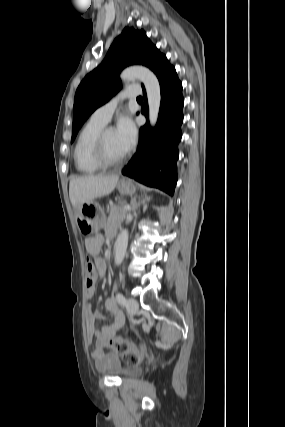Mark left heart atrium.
Wrapping results in <instances>:
<instances>
[{
	"label": "left heart atrium",
	"instance_id": "1",
	"mask_svg": "<svg viewBox=\"0 0 285 427\" xmlns=\"http://www.w3.org/2000/svg\"><path fill=\"white\" fill-rule=\"evenodd\" d=\"M116 136L126 152H129L134 147L137 140V130L129 117L123 116L119 119L116 128Z\"/></svg>",
	"mask_w": 285,
	"mask_h": 427
}]
</instances>
